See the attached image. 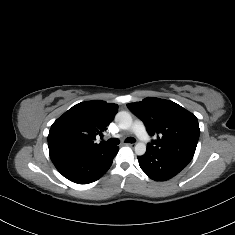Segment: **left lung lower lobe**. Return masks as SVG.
Returning <instances> with one entry per match:
<instances>
[{
  "instance_id": "obj_1",
  "label": "left lung lower lobe",
  "mask_w": 235,
  "mask_h": 235,
  "mask_svg": "<svg viewBox=\"0 0 235 235\" xmlns=\"http://www.w3.org/2000/svg\"><path fill=\"white\" fill-rule=\"evenodd\" d=\"M138 160L141 169L155 181L168 180L176 176L189 164V161L183 158L149 149L146 150L144 155L138 156Z\"/></svg>"
}]
</instances>
